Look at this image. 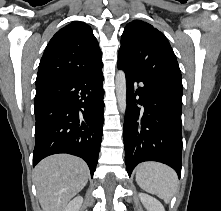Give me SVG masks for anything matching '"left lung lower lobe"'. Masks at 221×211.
<instances>
[{
  "label": "left lung lower lobe",
  "mask_w": 221,
  "mask_h": 211,
  "mask_svg": "<svg viewBox=\"0 0 221 211\" xmlns=\"http://www.w3.org/2000/svg\"><path fill=\"white\" fill-rule=\"evenodd\" d=\"M117 66L124 70L127 84L123 136L129 176L138 163L158 161L172 167L180 177L183 89L173 84L145 79L120 62ZM134 82H141L143 86L134 90Z\"/></svg>",
  "instance_id": "left-lung-lower-lobe-1"
}]
</instances>
